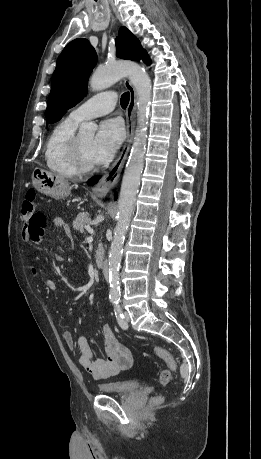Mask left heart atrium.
<instances>
[{
    "label": "left heart atrium",
    "instance_id": "1",
    "mask_svg": "<svg viewBox=\"0 0 261 459\" xmlns=\"http://www.w3.org/2000/svg\"><path fill=\"white\" fill-rule=\"evenodd\" d=\"M124 137V127L119 119H107L101 122L93 140V162L97 164L109 162L121 146Z\"/></svg>",
    "mask_w": 261,
    "mask_h": 459
}]
</instances>
